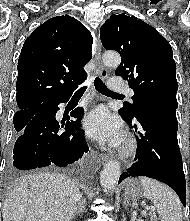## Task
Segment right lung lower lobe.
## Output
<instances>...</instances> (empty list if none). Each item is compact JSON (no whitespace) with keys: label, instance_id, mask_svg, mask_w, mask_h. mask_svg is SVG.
Segmentation results:
<instances>
[{"label":"right lung lower lobe","instance_id":"98d812e1","mask_svg":"<svg viewBox=\"0 0 190 221\" xmlns=\"http://www.w3.org/2000/svg\"><path fill=\"white\" fill-rule=\"evenodd\" d=\"M71 95L72 93L59 95L40 105L38 112L25 125L15 142L11 167L19 170L49 165L66 167L88 151L83 131L79 130L84 113L82 108H76L71 113L76 121H68L65 125L56 121L58 105L67 102ZM64 126L66 131L62 132L61 128Z\"/></svg>","mask_w":190,"mask_h":221}]
</instances>
